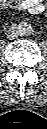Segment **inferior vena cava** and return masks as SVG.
<instances>
[{
	"instance_id": "obj_1",
	"label": "inferior vena cava",
	"mask_w": 47,
	"mask_h": 129,
	"mask_svg": "<svg viewBox=\"0 0 47 129\" xmlns=\"http://www.w3.org/2000/svg\"><path fill=\"white\" fill-rule=\"evenodd\" d=\"M18 35V31H17V28L16 27H11L9 30H8V38L9 39H14L16 38Z\"/></svg>"
}]
</instances>
